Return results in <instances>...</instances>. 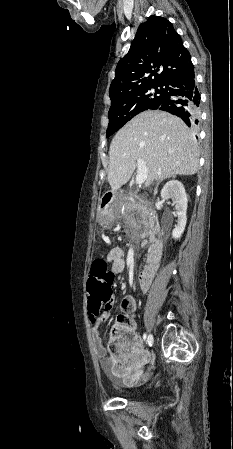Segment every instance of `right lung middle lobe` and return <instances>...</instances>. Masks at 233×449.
I'll return each mask as SVG.
<instances>
[{"label":"right lung middle lobe","mask_w":233,"mask_h":449,"mask_svg":"<svg viewBox=\"0 0 233 449\" xmlns=\"http://www.w3.org/2000/svg\"><path fill=\"white\" fill-rule=\"evenodd\" d=\"M167 93L166 84H152L111 99L106 137L111 136L134 116L159 106Z\"/></svg>","instance_id":"obj_1"}]
</instances>
